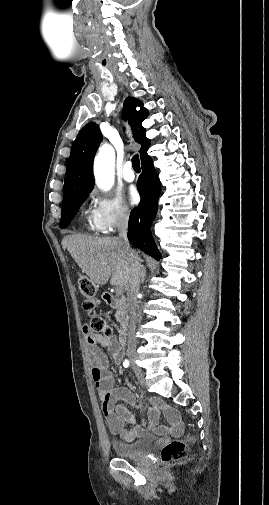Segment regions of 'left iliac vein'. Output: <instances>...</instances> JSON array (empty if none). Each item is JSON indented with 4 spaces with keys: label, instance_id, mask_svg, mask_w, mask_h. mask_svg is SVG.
Instances as JSON below:
<instances>
[{
    "label": "left iliac vein",
    "instance_id": "4c4485c4",
    "mask_svg": "<svg viewBox=\"0 0 269 505\" xmlns=\"http://www.w3.org/2000/svg\"><path fill=\"white\" fill-rule=\"evenodd\" d=\"M132 368L135 370L136 366H135V365H132Z\"/></svg>",
    "mask_w": 269,
    "mask_h": 505
}]
</instances>
